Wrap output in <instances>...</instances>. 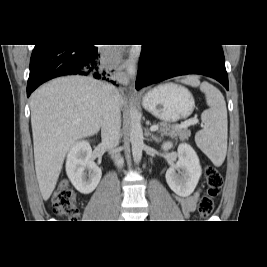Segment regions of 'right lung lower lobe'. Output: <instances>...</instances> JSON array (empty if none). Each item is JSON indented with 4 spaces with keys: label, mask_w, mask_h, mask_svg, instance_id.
Wrapping results in <instances>:
<instances>
[{
    "label": "right lung lower lobe",
    "mask_w": 267,
    "mask_h": 267,
    "mask_svg": "<svg viewBox=\"0 0 267 267\" xmlns=\"http://www.w3.org/2000/svg\"><path fill=\"white\" fill-rule=\"evenodd\" d=\"M63 75L109 80L100 51L94 45H35L30 60L27 97L42 83Z\"/></svg>",
    "instance_id": "right-lung-lower-lobe-1"
}]
</instances>
